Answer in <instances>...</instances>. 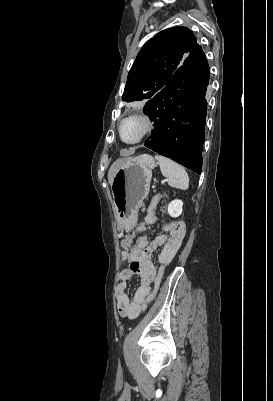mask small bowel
Segmentation results:
<instances>
[{
  "label": "small bowel",
  "mask_w": 273,
  "mask_h": 401,
  "mask_svg": "<svg viewBox=\"0 0 273 401\" xmlns=\"http://www.w3.org/2000/svg\"><path fill=\"white\" fill-rule=\"evenodd\" d=\"M149 223L154 224L157 221L156 216L151 215L148 218ZM166 230L171 236L172 229L167 225ZM165 236H159L154 240H148L146 237H139L135 241V233H128L122 242V260L128 263L119 273V283L115 289V298L119 314L129 319L137 318L146 310L149 302L152 300V284H140L132 296L129 295L128 282L138 277L139 271H153L154 281L156 278V268L152 263V254L165 242ZM181 241H172L163 249L160 260L166 259L168 263L174 257L180 246Z\"/></svg>",
  "instance_id": "obj_1"
}]
</instances>
